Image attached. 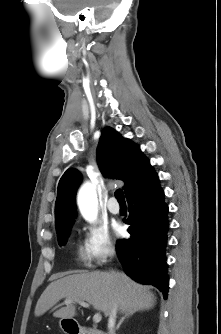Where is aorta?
<instances>
[{"instance_id": "1", "label": "aorta", "mask_w": 221, "mask_h": 334, "mask_svg": "<svg viewBox=\"0 0 221 334\" xmlns=\"http://www.w3.org/2000/svg\"><path fill=\"white\" fill-rule=\"evenodd\" d=\"M77 203L82 216L87 221H94L98 214V200L94 186L91 183H85L79 189Z\"/></svg>"}]
</instances>
